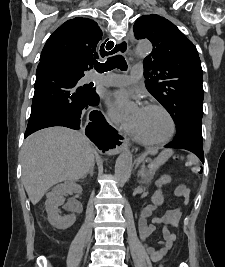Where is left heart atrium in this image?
Returning a JSON list of instances; mask_svg holds the SVG:
<instances>
[{"label":"left heart atrium","mask_w":225,"mask_h":267,"mask_svg":"<svg viewBox=\"0 0 225 267\" xmlns=\"http://www.w3.org/2000/svg\"><path fill=\"white\" fill-rule=\"evenodd\" d=\"M131 100H136V96L132 92L127 91V90L113 92L108 97V101L110 105L120 115H123V108L125 104ZM140 109L141 108H138L137 110H140ZM132 121L134 122L133 118H132Z\"/></svg>","instance_id":"1"}]
</instances>
